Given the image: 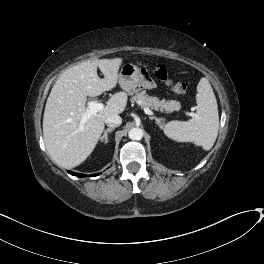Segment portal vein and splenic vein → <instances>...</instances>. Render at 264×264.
<instances>
[{
  "label": "portal vein and splenic vein",
  "mask_w": 264,
  "mask_h": 264,
  "mask_svg": "<svg viewBox=\"0 0 264 264\" xmlns=\"http://www.w3.org/2000/svg\"><path fill=\"white\" fill-rule=\"evenodd\" d=\"M104 108L103 103H101L98 100L91 101L88 103V109L86 114L82 117L81 122L84 123L86 120H88L91 116L95 115L97 112L101 111ZM144 112L147 115H152L153 112L149 108H144ZM187 115H191L187 112Z\"/></svg>",
  "instance_id": "portal-vein-and-splenic-vein-1"
}]
</instances>
